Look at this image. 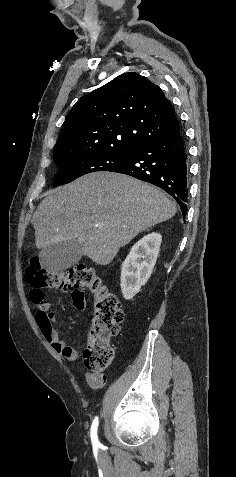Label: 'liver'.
<instances>
[{
	"label": "liver",
	"mask_w": 236,
	"mask_h": 477,
	"mask_svg": "<svg viewBox=\"0 0 236 477\" xmlns=\"http://www.w3.org/2000/svg\"><path fill=\"white\" fill-rule=\"evenodd\" d=\"M176 211L175 203L150 184L96 172L50 191L32 224L38 249L76 239L84 255L105 266L140 232L169 220Z\"/></svg>",
	"instance_id": "6515ba94"
}]
</instances>
